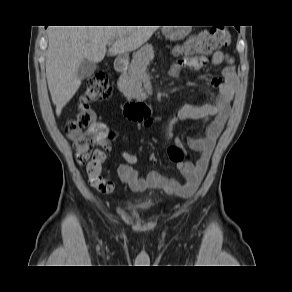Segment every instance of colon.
<instances>
[{
  "instance_id": "colon-1",
  "label": "colon",
  "mask_w": 292,
  "mask_h": 292,
  "mask_svg": "<svg viewBox=\"0 0 292 292\" xmlns=\"http://www.w3.org/2000/svg\"><path fill=\"white\" fill-rule=\"evenodd\" d=\"M229 41L230 34L225 27H212L190 38L181 47L180 52L207 56L227 46ZM110 95L108 75L98 73L92 76L80 96L77 117L67 121L64 127L65 134L73 141L76 161L80 165H86L90 185L105 194L114 190L113 183L102 176L106 150L104 147L94 150V145L105 128L97 122L90 105ZM167 156L170 161L177 164L184 161L185 154L179 146H170L167 149ZM159 159L158 153L152 152L149 155V160L153 163H157Z\"/></svg>"
}]
</instances>
